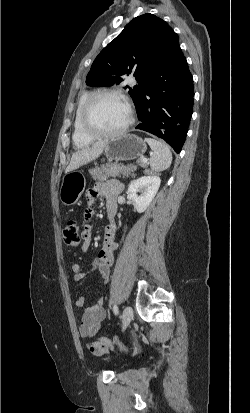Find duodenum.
I'll return each instance as SVG.
<instances>
[{"label":"duodenum","instance_id":"duodenum-1","mask_svg":"<svg viewBox=\"0 0 250 413\" xmlns=\"http://www.w3.org/2000/svg\"><path fill=\"white\" fill-rule=\"evenodd\" d=\"M107 214H108V219L109 220L114 219L115 212L112 209L108 210Z\"/></svg>","mask_w":250,"mask_h":413}]
</instances>
